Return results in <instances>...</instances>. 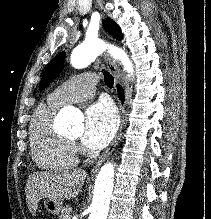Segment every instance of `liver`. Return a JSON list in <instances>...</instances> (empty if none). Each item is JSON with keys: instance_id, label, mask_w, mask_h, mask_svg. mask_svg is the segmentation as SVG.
<instances>
[{"instance_id": "obj_1", "label": "liver", "mask_w": 211, "mask_h": 219, "mask_svg": "<svg viewBox=\"0 0 211 219\" xmlns=\"http://www.w3.org/2000/svg\"><path fill=\"white\" fill-rule=\"evenodd\" d=\"M87 172L82 169L36 172L28 177L26 201L30 212L35 215L42 198L56 201L75 198L82 189Z\"/></svg>"}]
</instances>
